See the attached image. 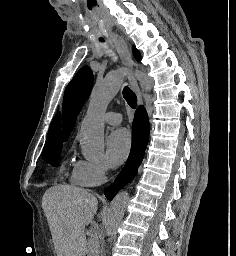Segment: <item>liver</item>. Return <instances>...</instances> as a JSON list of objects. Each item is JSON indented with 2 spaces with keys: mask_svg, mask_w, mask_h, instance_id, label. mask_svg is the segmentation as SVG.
I'll use <instances>...</instances> for the list:
<instances>
[{
  "mask_svg": "<svg viewBox=\"0 0 236 256\" xmlns=\"http://www.w3.org/2000/svg\"><path fill=\"white\" fill-rule=\"evenodd\" d=\"M42 206L57 256H85V226L98 210L96 198L84 188L53 186L46 190Z\"/></svg>",
  "mask_w": 236,
  "mask_h": 256,
  "instance_id": "6515ba94",
  "label": "liver"
}]
</instances>
